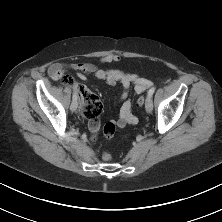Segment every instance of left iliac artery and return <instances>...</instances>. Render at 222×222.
Returning <instances> with one entry per match:
<instances>
[{
    "label": "left iliac artery",
    "mask_w": 222,
    "mask_h": 222,
    "mask_svg": "<svg viewBox=\"0 0 222 222\" xmlns=\"http://www.w3.org/2000/svg\"><path fill=\"white\" fill-rule=\"evenodd\" d=\"M155 87H152L149 91H148V95L149 96H152L153 95V93L155 92Z\"/></svg>",
    "instance_id": "left-iliac-artery-1"
}]
</instances>
